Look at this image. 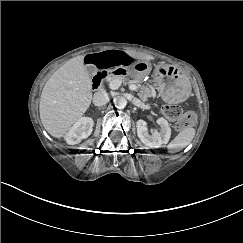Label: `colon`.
Returning a JSON list of instances; mask_svg holds the SVG:
<instances>
[{
  "mask_svg": "<svg viewBox=\"0 0 243 243\" xmlns=\"http://www.w3.org/2000/svg\"><path fill=\"white\" fill-rule=\"evenodd\" d=\"M163 114L169 120H178L177 129L182 130L192 126L196 121L194 112L183 113L182 108L176 104H167L163 107Z\"/></svg>",
  "mask_w": 243,
  "mask_h": 243,
  "instance_id": "obj_1",
  "label": "colon"
}]
</instances>
